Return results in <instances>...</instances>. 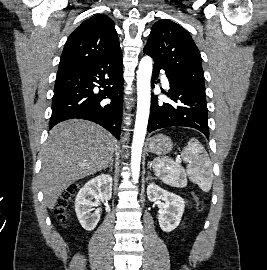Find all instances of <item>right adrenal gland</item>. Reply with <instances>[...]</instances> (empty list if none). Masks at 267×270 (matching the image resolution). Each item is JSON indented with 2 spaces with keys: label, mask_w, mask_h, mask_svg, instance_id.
<instances>
[{
  "label": "right adrenal gland",
  "mask_w": 267,
  "mask_h": 270,
  "mask_svg": "<svg viewBox=\"0 0 267 270\" xmlns=\"http://www.w3.org/2000/svg\"><path fill=\"white\" fill-rule=\"evenodd\" d=\"M107 168H109L111 172L113 171V161H111L110 165L105 167L104 169H107Z\"/></svg>",
  "instance_id": "right-adrenal-gland-1"
}]
</instances>
